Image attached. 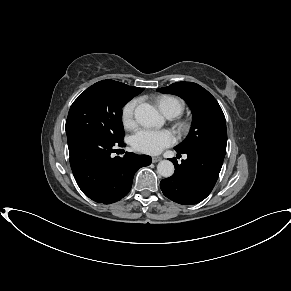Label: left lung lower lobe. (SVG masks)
<instances>
[{"instance_id":"1","label":"left lung lower lobe","mask_w":291,"mask_h":291,"mask_svg":"<svg viewBox=\"0 0 291 291\" xmlns=\"http://www.w3.org/2000/svg\"><path fill=\"white\" fill-rule=\"evenodd\" d=\"M177 153L187 154V159L179 165L173 159L175 172L173 176L163 179L160 188L172 201L192 205L204 200L212 191L225 157L223 149L192 148Z\"/></svg>"}]
</instances>
